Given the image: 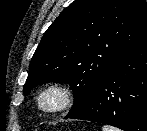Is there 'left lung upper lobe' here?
<instances>
[{
    "label": "left lung upper lobe",
    "mask_w": 147,
    "mask_h": 131,
    "mask_svg": "<svg viewBox=\"0 0 147 131\" xmlns=\"http://www.w3.org/2000/svg\"><path fill=\"white\" fill-rule=\"evenodd\" d=\"M147 40L144 0H76L45 32L30 63L23 91L39 84L69 83L83 108L101 80L129 49Z\"/></svg>",
    "instance_id": "1"
}]
</instances>
